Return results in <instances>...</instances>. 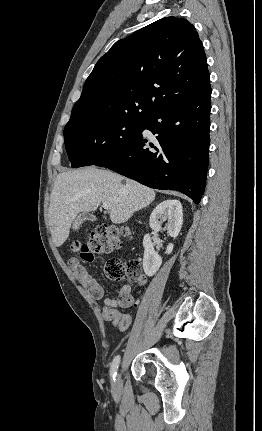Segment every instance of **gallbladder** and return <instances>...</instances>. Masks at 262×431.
Returning <instances> with one entry per match:
<instances>
[{"instance_id":"gallbladder-1","label":"gallbladder","mask_w":262,"mask_h":431,"mask_svg":"<svg viewBox=\"0 0 262 431\" xmlns=\"http://www.w3.org/2000/svg\"><path fill=\"white\" fill-rule=\"evenodd\" d=\"M87 219L95 220V217L92 214H88V213L79 214L73 223L72 229L75 231L78 230L81 223Z\"/></svg>"}]
</instances>
